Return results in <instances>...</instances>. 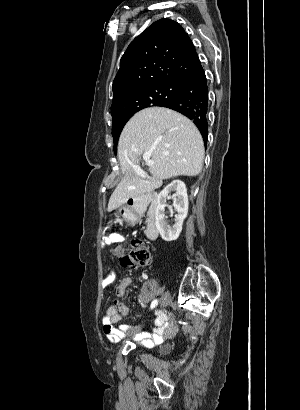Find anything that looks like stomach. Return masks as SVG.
<instances>
[{
	"label": "stomach",
	"mask_w": 300,
	"mask_h": 410,
	"mask_svg": "<svg viewBox=\"0 0 300 410\" xmlns=\"http://www.w3.org/2000/svg\"><path fill=\"white\" fill-rule=\"evenodd\" d=\"M119 214L122 215L123 217L127 218L130 215H132V211L128 208L123 207V208L119 209L118 213H115V217H118ZM112 223H113V220H110L109 224L111 225Z\"/></svg>",
	"instance_id": "0dacf381"
}]
</instances>
